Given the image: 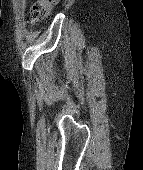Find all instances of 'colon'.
I'll list each match as a JSON object with an SVG mask.
<instances>
[{
  "label": "colon",
  "mask_w": 143,
  "mask_h": 170,
  "mask_svg": "<svg viewBox=\"0 0 143 170\" xmlns=\"http://www.w3.org/2000/svg\"><path fill=\"white\" fill-rule=\"evenodd\" d=\"M59 0H38L32 7V23L35 24L46 18L52 7L57 4Z\"/></svg>",
  "instance_id": "1"
}]
</instances>
